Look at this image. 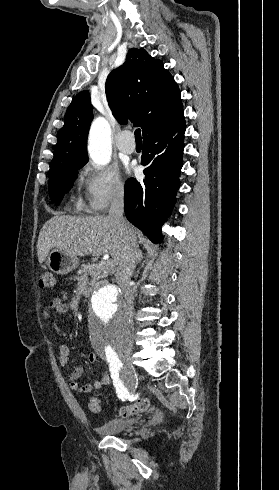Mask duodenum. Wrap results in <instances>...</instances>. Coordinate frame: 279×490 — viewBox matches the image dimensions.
<instances>
[{
	"label": "duodenum",
	"instance_id": "duodenum-1",
	"mask_svg": "<svg viewBox=\"0 0 279 490\" xmlns=\"http://www.w3.org/2000/svg\"><path fill=\"white\" fill-rule=\"evenodd\" d=\"M99 283H95L91 286H89L86 290H85V293H84V296L85 297H90L92 295V293L96 290V288L98 287Z\"/></svg>",
	"mask_w": 279,
	"mask_h": 490
}]
</instances>
